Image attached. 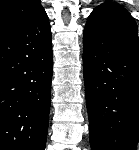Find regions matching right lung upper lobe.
Returning a JSON list of instances; mask_svg holds the SVG:
<instances>
[{
	"label": "right lung upper lobe",
	"instance_id": "right-lung-upper-lobe-1",
	"mask_svg": "<svg viewBox=\"0 0 139 150\" xmlns=\"http://www.w3.org/2000/svg\"><path fill=\"white\" fill-rule=\"evenodd\" d=\"M42 11L40 0H0V35L26 24Z\"/></svg>",
	"mask_w": 139,
	"mask_h": 150
}]
</instances>
